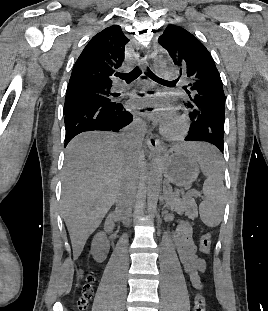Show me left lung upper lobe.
<instances>
[{
	"label": "left lung upper lobe",
	"instance_id": "left-lung-upper-lobe-1",
	"mask_svg": "<svg viewBox=\"0 0 268 311\" xmlns=\"http://www.w3.org/2000/svg\"><path fill=\"white\" fill-rule=\"evenodd\" d=\"M160 45L172 57L186 75L189 83L185 88L189 100L185 105L190 109V119L202 114L207 106L225 102L220 74L206 47L190 32L176 25H169L158 38Z\"/></svg>",
	"mask_w": 268,
	"mask_h": 311
}]
</instances>
